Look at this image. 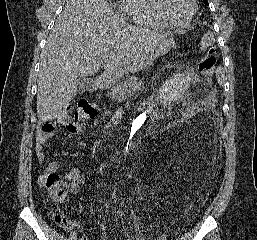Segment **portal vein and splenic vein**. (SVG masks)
Here are the masks:
<instances>
[{"label": "portal vein and splenic vein", "instance_id": "portal-vein-and-splenic-vein-1", "mask_svg": "<svg viewBox=\"0 0 257 240\" xmlns=\"http://www.w3.org/2000/svg\"><path fill=\"white\" fill-rule=\"evenodd\" d=\"M106 58H107L106 55L101 56V59H106Z\"/></svg>", "mask_w": 257, "mask_h": 240}]
</instances>
